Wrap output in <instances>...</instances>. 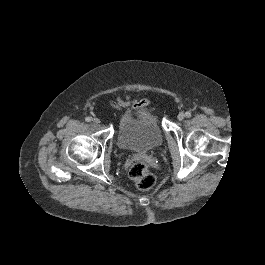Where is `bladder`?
I'll list each match as a JSON object with an SVG mask.
<instances>
[{
	"instance_id": "obj_1",
	"label": "bladder",
	"mask_w": 265,
	"mask_h": 265,
	"mask_svg": "<svg viewBox=\"0 0 265 265\" xmlns=\"http://www.w3.org/2000/svg\"><path fill=\"white\" fill-rule=\"evenodd\" d=\"M116 140L122 149L146 152L162 145L164 134L151 111L143 118L128 111L121 119Z\"/></svg>"
}]
</instances>
